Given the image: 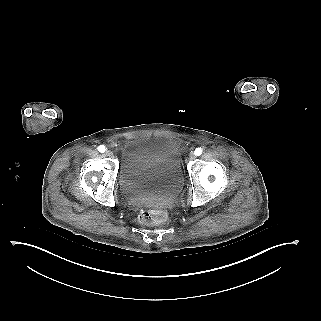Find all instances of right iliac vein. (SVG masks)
<instances>
[{
    "instance_id": "right-iliac-vein-1",
    "label": "right iliac vein",
    "mask_w": 321,
    "mask_h": 321,
    "mask_svg": "<svg viewBox=\"0 0 321 321\" xmlns=\"http://www.w3.org/2000/svg\"><path fill=\"white\" fill-rule=\"evenodd\" d=\"M105 155L108 156V157H113V153L111 151H109V150H107L105 152Z\"/></svg>"
}]
</instances>
